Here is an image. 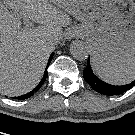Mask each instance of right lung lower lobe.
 <instances>
[{
  "instance_id": "right-lung-lower-lobe-1",
  "label": "right lung lower lobe",
  "mask_w": 135,
  "mask_h": 135,
  "mask_svg": "<svg viewBox=\"0 0 135 135\" xmlns=\"http://www.w3.org/2000/svg\"><path fill=\"white\" fill-rule=\"evenodd\" d=\"M53 57V53L51 54L50 58H49V62H48V66L50 64V61L52 60ZM47 79V69L44 72L43 78L41 79L40 83L38 84V86L36 88H34L32 91H30L29 93L19 96V97H14V99H19V100H23V99H27L29 97H31L35 92H37L39 90V88L44 84V82Z\"/></svg>"
}]
</instances>
